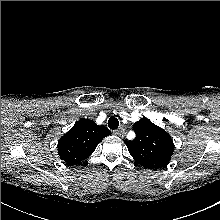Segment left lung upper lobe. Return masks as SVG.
<instances>
[{"mask_svg":"<svg viewBox=\"0 0 220 220\" xmlns=\"http://www.w3.org/2000/svg\"><path fill=\"white\" fill-rule=\"evenodd\" d=\"M133 128L136 133L135 139L124 141L130 155L146 168L165 167L174 152V144L169 133L147 118L135 122Z\"/></svg>","mask_w":220,"mask_h":220,"instance_id":"5c2ea615","label":"left lung upper lobe"}]
</instances>
